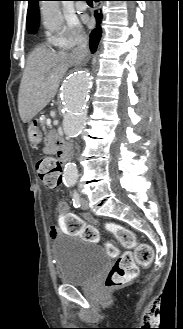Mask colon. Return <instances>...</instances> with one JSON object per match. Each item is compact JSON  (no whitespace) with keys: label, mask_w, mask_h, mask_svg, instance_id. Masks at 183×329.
I'll return each mask as SVG.
<instances>
[{"label":"colon","mask_w":183,"mask_h":329,"mask_svg":"<svg viewBox=\"0 0 183 329\" xmlns=\"http://www.w3.org/2000/svg\"><path fill=\"white\" fill-rule=\"evenodd\" d=\"M37 171L42 183L50 191H58L62 185V166L53 157H43L37 163ZM81 220L75 216L74 219ZM108 230L115 236L118 242L126 248H134V252H125L118 256L109 271L105 286L108 289L123 286L136 277L137 265H148L152 260V249L147 244H137L132 231L117 224H109ZM107 253L111 256L118 255V248L112 243H106Z\"/></svg>","instance_id":"5ec220e1"}]
</instances>
